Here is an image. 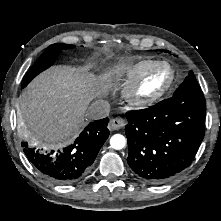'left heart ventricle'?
<instances>
[{
	"label": "left heart ventricle",
	"instance_id": "left-heart-ventricle-1",
	"mask_svg": "<svg viewBox=\"0 0 221 221\" xmlns=\"http://www.w3.org/2000/svg\"><path fill=\"white\" fill-rule=\"evenodd\" d=\"M164 81V75L162 73H157L153 77H151L148 83L145 86V90H149L151 88L157 87Z\"/></svg>",
	"mask_w": 221,
	"mask_h": 221
}]
</instances>
